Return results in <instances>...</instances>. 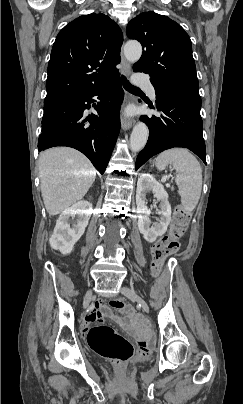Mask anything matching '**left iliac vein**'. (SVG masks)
Returning a JSON list of instances; mask_svg holds the SVG:
<instances>
[{
  "label": "left iliac vein",
  "mask_w": 243,
  "mask_h": 404,
  "mask_svg": "<svg viewBox=\"0 0 243 404\" xmlns=\"http://www.w3.org/2000/svg\"><path fill=\"white\" fill-rule=\"evenodd\" d=\"M121 293L126 297L130 298L131 300L136 301L141 306L144 312L149 313L150 309L147 302L141 296H139L133 289H130L128 287H122Z\"/></svg>",
  "instance_id": "4c4485c4"
}]
</instances>
